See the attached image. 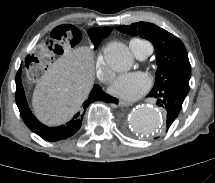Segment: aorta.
Instances as JSON below:
<instances>
[{
    "mask_svg": "<svg viewBox=\"0 0 215 183\" xmlns=\"http://www.w3.org/2000/svg\"><path fill=\"white\" fill-rule=\"evenodd\" d=\"M108 66L117 72L128 71L133 64V56L128 47L121 42L110 43L104 51ZM163 125V118L158 109L142 105L135 108L128 117V126L138 134L151 135Z\"/></svg>",
    "mask_w": 215,
    "mask_h": 183,
    "instance_id": "obj_1",
    "label": "aorta"
}]
</instances>
